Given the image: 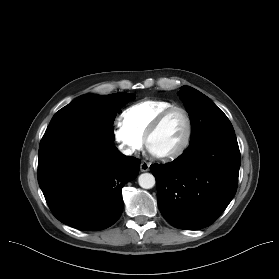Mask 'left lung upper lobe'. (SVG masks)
<instances>
[{
  "label": "left lung upper lobe",
  "instance_id": "1",
  "mask_svg": "<svg viewBox=\"0 0 279 279\" xmlns=\"http://www.w3.org/2000/svg\"><path fill=\"white\" fill-rule=\"evenodd\" d=\"M178 94L190 115V143L211 134L235 133L227 116L207 96L189 86H182Z\"/></svg>",
  "mask_w": 279,
  "mask_h": 279
}]
</instances>
